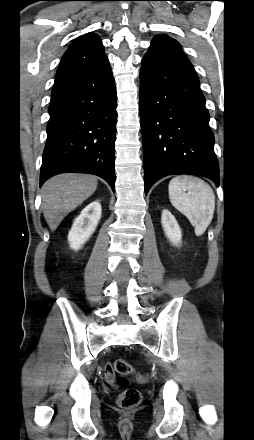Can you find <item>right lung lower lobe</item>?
<instances>
[{"mask_svg":"<svg viewBox=\"0 0 254 440\" xmlns=\"http://www.w3.org/2000/svg\"><path fill=\"white\" fill-rule=\"evenodd\" d=\"M117 94L109 62L55 81L40 187L66 172L94 174L115 191Z\"/></svg>","mask_w":254,"mask_h":440,"instance_id":"98d812e1","label":"right lung lower lobe"}]
</instances>
